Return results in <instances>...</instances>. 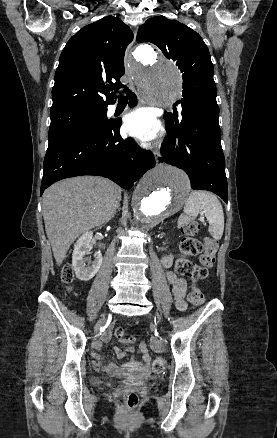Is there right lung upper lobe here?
Instances as JSON below:
<instances>
[{"label":"right lung upper lobe","mask_w":277,"mask_h":438,"mask_svg":"<svg viewBox=\"0 0 277 438\" xmlns=\"http://www.w3.org/2000/svg\"><path fill=\"white\" fill-rule=\"evenodd\" d=\"M133 33L120 18L107 16L83 27L67 42L59 58L50 113L81 108L105 109L125 87L124 53ZM101 94H105L104 101Z\"/></svg>","instance_id":"right-lung-upper-lobe-1"}]
</instances>
